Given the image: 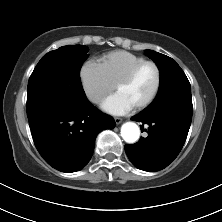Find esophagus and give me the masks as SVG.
Wrapping results in <instances>:
<instances>
[{
  "label": "esophagus",
  "instance_id": "34e87169",
  "mask_svg": "<svg viewBox=\"0 0 222 222\" xmlns=\"http://www.w3.org/2000/svg\"><path fill=\"white\" fill-rule=\"evenodd\" d=\"M114 120L117 125L122 122V118H119V117L114 118Z\"/></svg>",
  "mask_w": 222,
  "mask_h": 222
}]
</instances>
